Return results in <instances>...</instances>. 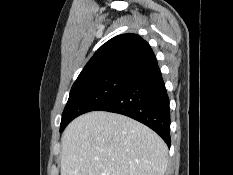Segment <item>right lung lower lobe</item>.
Masks as SVG:
<instances>
[{"label":"right lung lower lobe","mask_w":233,"mask_h":175,"mask_svg":"<svg viewBox=\"0 0 233 175\" xmlns=\"http://www.w3.org/2000/svg\"><path fill=\"white\" fill-rule=\"evenodd\" d=\"M96 110L131 117L153 129L170 146L169 98L158 65L133 77L119 93Z\"/></svg>","instance_id":"1"}]
</instances>
